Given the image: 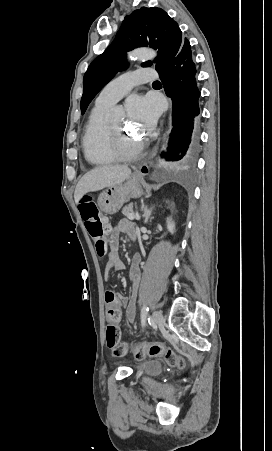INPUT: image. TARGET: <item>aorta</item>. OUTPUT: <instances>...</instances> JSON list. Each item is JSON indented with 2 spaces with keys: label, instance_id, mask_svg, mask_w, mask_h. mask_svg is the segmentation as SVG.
Returning <instances> with one entry per match:
<instances>
[{
  "label": "aorta",
  "instance_id": "1",
  "mask_svg": "<svg viewBox=\"0 0 272 451\" xmlns=\"http://www.w3.org/2000/svg\"><path fill=\"white\" fill-rule=\"evenodd\" d=\"M155 56H157L156 52H154V50H150V48H138V50L128 52V60H153ZM107 120H113V116H107Z\"/></svg>",
  "mask_w": 272,
  "mask_h": 451
}]
</instances>
